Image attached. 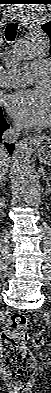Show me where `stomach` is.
Here are the masks:
<instances>
[{"label":"stomach","instance_id":"obj_1","mask_svg":"<svg viewBox=\"0 0 51 393\" xmlns=\"http://www.w3.org/2000/svg\"><path fill=\"white\" fill-rule=\"evenodd\" d=\"M39 160L45 165H51V145L50 143L42 147L39 151Z\"/></svg>","mask_w":51,"mask_h":393}]
</instances>
